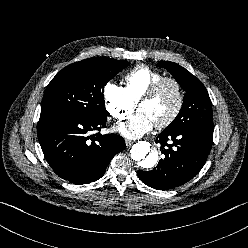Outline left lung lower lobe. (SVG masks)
<instances>
[{"label":"left lung lower lobe","instance_id":"0a47b994","mask_svg":"<svg viewBox=\"0 0 248 248\" xmlns=\"http://www.w3.org/2000/svg\"><path fill=\"white\" fill-rule=\"evenodd\" d=\"M156 143H160L165 158L151 171L139 170L138 177L152 188L168 190L188 182L204 166L213 143V129H165Z\"/></svg>","mask_w":248,"mask_h":248}]
</instances>
